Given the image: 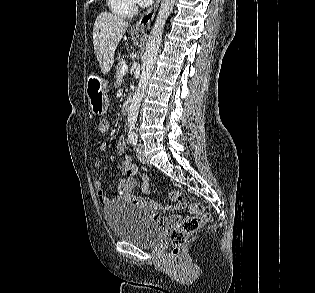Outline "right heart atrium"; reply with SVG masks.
<instances>
[{
  "label": "right heart atrium",
  "mask_w": 315,
  "mask_h": 293,
  "mask_svg": "<svg viewBox=\"0 0 315 293\" xmlns=\"http://www.w3.org/2000/svg\"><path fill=\"white\" fill-rule=\"evenodd\" d=\"M144 0H133L135 5H141Z\"/></svg>",
  "instance_id": "right-heart-atrium-1"
}]
</instances>
